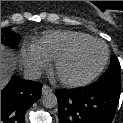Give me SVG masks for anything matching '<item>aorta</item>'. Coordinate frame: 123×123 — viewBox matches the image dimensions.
I'll use <instances>...</instances> for the list:
<instances>
[{"instance_id": "obj_1", "label": "aorta", "mask_w": 123, "mask_h": 123, "mask_svg": "<svg viewBox=\"0 0 123 123\" xmlns=\"http://www.w3.org/2000/svg\"><path fill=\"white\" fill-rule=\"evenodd\" d=\"M57 97L52 92H45L42 95V104L46 108H54L57 106Z\"/></svg>"}]
</instances>
